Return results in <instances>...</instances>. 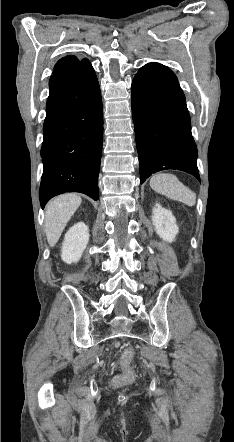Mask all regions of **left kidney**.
Returning <instances> with one entry per match:
<instances>
[{
    "label": "left kidney",
    "instance_id": "5707ae66",
    "mask_svg": "<svg viewBox=\"0 0 234 442\" xmlns=\"http://www.w3.org/2000/svg\"><path fill=\"white\" fill-rule=\"evenodd\" d=\"M152 222L156 233L166 242H173L179 232L176 219L170 210L156 204L152 211Z\"/></svg>",
    "mask_w": 234,
    "mask_h": 442
}]
</instances>
